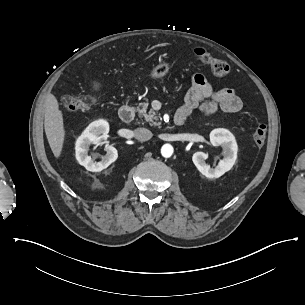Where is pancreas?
<instances>
[{
    "mask_svg": "<svg viewBox=\"0 0 305 305\" xmlns=\"http://www.w3.org/2000/svg\"><path fill=\"white\" fill-rule=\"evenodd\" d=\"M149 103L148 102H142L140 103V108L137 110V116L139 118H144L146 123H149L150 125L158 126L160 123H157L158 120V113L154 112L153 110L147 111Z\"/></svg>",
    "mask_w": 305,
    "mask_h": 305,
    "instance_id": "pancreas-1",
    "label": "pancreas"
}]
</instances>
